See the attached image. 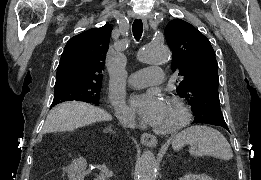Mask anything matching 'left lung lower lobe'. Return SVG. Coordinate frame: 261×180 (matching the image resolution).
<instances>
[{"label":"left lung lower lobe","mask_w":261,"mask_h":180,"mask_svg":"<svg viewBox=\"0 0 261 180\" xmlns=\"http://www.w3.org/2000/svg\"><path fill=\"white\" fill-rule=\"evenodd\" d=\"M202 123L218 125V126H222V127L226 128V129H228L226 124H216V123H213V122H210V121H205V122H202ZM192 124H197V123L193 121Z\"/></svg>","instance_id":"obj_1"}]
</instances>
